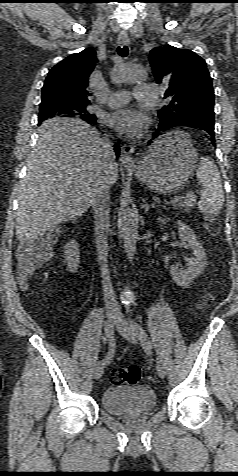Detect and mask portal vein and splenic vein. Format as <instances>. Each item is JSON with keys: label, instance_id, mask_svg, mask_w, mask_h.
<instances>
[{"label": "portal vein and splenic vein", "instance_id": "obj_1", "mask_svg": "<svg viewBox=\"0 0 238 476\" xmlns=\"http://www.w3.org/2000/svg\"><path fill=\"white\" fill-rule=\"evenodd\" d=\"M182 198H183V197L180 196V195L174 196V197L171 199V202H172V203L178 202V201H180Z\"/></svg>", "mask_w": 238, "mask_h": 476}]
</instances>
